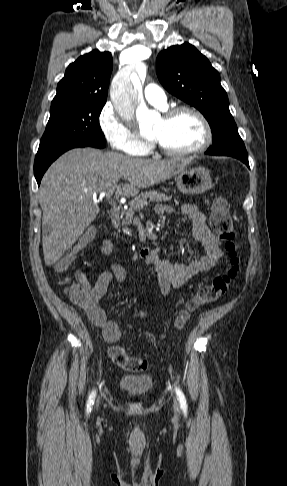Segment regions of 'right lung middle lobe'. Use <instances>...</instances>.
<instances>
[{
    "label": "right lung middle lobe",
    "mask_w": 287,
    "mask_h": 486,
    "mask_svg": "<svg viewBox=\"0 0 287 486\" xmlns=\"http://www.w3.org/2000/svg\"><path fill=\"white\" fill-rule=\"evenodd\" d=\"M105 103L82 101L51 107L37 154L76 145L105 147L106 140L99 125V115Z\"/></svg>",
    "instance_id": "obj_1"
}]
</instances>
